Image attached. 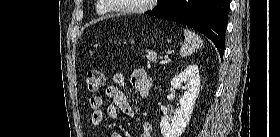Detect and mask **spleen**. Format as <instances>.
<instances>
[{"label":"spleen","mask_w":280,"mask_h":137,"mask_svg":"<svg viewBox=\"0 0 280 137\" xmlns=\"http://www.w3.org/2000/svg\"><path fill=\"white\" fill-rule=\"evenodd\" d=\"M184 37V44L180 49V55L182 57L191 55L203 44L201 37L189 29H184Z\"/></svg>","instance_id":"1"}]
</instances>
